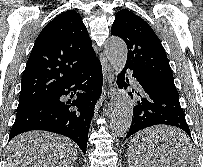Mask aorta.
Listing matches in <instances>:
<instances>
[{
	"instance_id": "obj_1",
	"label": "aorta",
	"mask_w": 203,
	"mask_h": 167,
	"mask_svg": "<svg viewBox=\"0 0 203 167\" xmlns=\"http://www.w3.org/2000/svg\"><path fill=\"white\" fill-rule=\"evenodd\" d=\"M106 56L114 68L119 73L123 70L127 60V46L119 37H110L105 43ZM133 117V103L125 90H120L112 113L110 131L114 137H121L129 129Z\"/></svg>"
}]
</instances>
